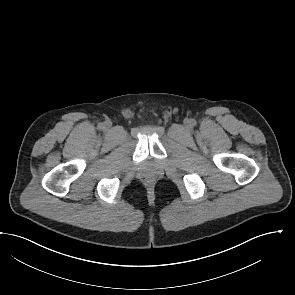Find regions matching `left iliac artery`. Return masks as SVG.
Segmentation results:
<instances>
[{
  "instance_id": "1",
  "label": "left iliac artery",
  "mask_w": 295,
  "mask_h": 295,
  "mask_svg": "<svg viewBox=\"0 0 295 295\" xmlns=\"http://www.w3.org/2000/svg\"><path fill=\"white\" fill-rule=\"evenodd\" d=\"M191 124H192V125H195V124H196V121L193 120V119H191Z\"/></svg>"
}]
</instances>
